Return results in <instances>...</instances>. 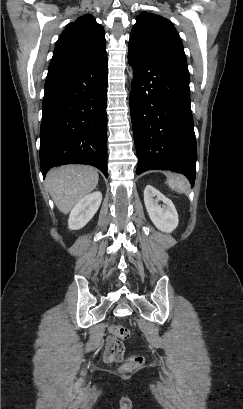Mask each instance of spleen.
<instances>
[{"label": "spleen", "instance_id": "3e777b00", "mask_svg": "<svg viewBox=\"0 0 243 409\" xmlns=\"http://www.w3.org/2000/svg\"><path fill=\"white\" fill-rule=\"evenodd\" d=\"M167 183L173 190H177L180 193H185L188 187V182L183 177H170Z\"/></svg>", "mask_w": 243, "mask_h": 409}]
</instances>
